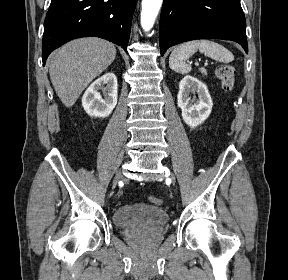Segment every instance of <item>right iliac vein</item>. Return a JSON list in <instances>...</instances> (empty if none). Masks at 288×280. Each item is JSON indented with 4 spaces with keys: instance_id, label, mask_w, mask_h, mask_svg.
Instances as JSON below:
<instances>
[{
    "instance_id": "obj_1",
    "label": "right iliac vein",
    "mask_w": 288,
    "mask_h": 280,
    "mask_svg": "<svg viewBox=\"0 0 288 280\" xmlns=\"http://www.w3.org/2000/svg\"><path fill=\"white\" fill-rule=\"evenodd\" d=\"M122 178L121 173L117 174L116 177L114 178V185H116V183Z\"/></svg>"
}]
</instances>
